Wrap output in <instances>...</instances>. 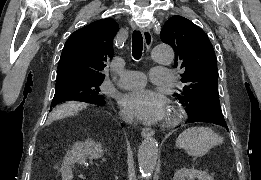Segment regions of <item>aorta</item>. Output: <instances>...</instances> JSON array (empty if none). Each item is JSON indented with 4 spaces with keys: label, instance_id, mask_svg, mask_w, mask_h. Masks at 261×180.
Returning a JSON list of instances; mask_svg holds the SVG:
<instances>
[{
    "label": "aorta",
    "instance_id": "obj_1",
    "mask_svg": "<svg viewBox=\"0 0 261 180\" xmlns=\"http://www.w3.org/2000/svg\"><path fill=\"white\" fill-rule=\"evenodd\" d=\"M151 57L157 63L169 64L174 59V52L171 47L162 44L153 48ZM157 155V141L152 137L144 139L138 150L139 168L143 177H151L156 166Z\"/></svg>",
    "mask_w": 261,
    "mask_h": 180
}]
</instances>
